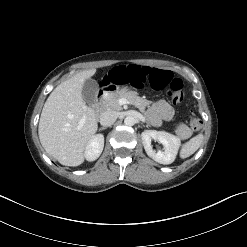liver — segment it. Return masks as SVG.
Wrapping results in <instances>:
<instances>
[{"mask_svg":"<svg viewBox=\"0 0 247 247\" xmlns=\"http://www.w3.org/2000/svg\"><path fill=\"white\" fill-rule=\"evenodd\" d=\"M96 69L82 71L58 85L47 98L39 120V139L46 152L66 166L84 162L85 149L98 124L82 95L84 82ZM85 116V123L80 125Z\"/></svg>","mask_w":247,"mask_h":247,"instance_id":"6515ba94","label":"liver"}]
</instances>
